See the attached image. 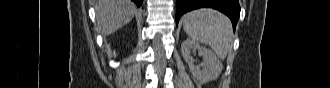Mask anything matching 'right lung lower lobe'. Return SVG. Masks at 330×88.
I'll use <instances>...</instances> for the list:
<instances>
[{"instance_id":"98d812e1","label":"right lung lower lobe","mask_w":330,"mask_h":88,"mask_svg":"<svg viewBox=\"0 0 330 88\" xmlns=\"http://www.w3.org/2000/svg\"><path fill=\"white\" fill-rule=\"evenodd\" d=\"M138 7L141 6L143 0H132Z\"/></svg>"}]
</instances>
